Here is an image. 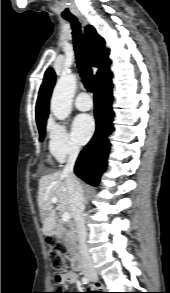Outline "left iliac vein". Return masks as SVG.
Segmentation results:
<instances>
[{"label":"left iliac vein","instance_id":"left-iliac-vein-1","mask_svg":"<svg viewBox=\"0 0 170 293\" xmlns=\"http://www.w3.org/2000/svg\"><path fill=\"white\" fill-rule=\"evenodd\" d=\"M91 280H92L93 282L98 281V276H94L93 278H91Z\"/></svg>","mask_w":170,"mask_h":293}]
</instances>
